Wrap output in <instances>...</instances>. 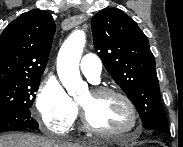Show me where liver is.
<instances>
[{"instance_id":"obj_1","label":"liver","mask_w":183,"mask_h":147,"mask_svg":"<svg viewBox=\"0 0 183 147\" xmlns=\"http://www.w3.org/2000/svg\"><path fill=\"white\" fill-rule=\"evenodd\" d=\"M97 141L69 143L55 141L40 136L24 133L0 135V147H94L100 145Z\"/></svg>"}]
</instances>
